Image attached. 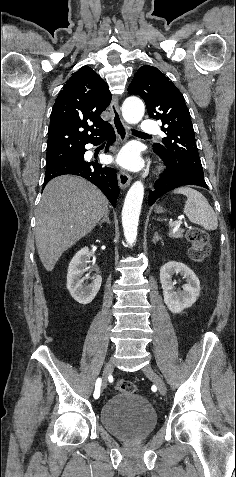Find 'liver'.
<instances>
[{"label": "liver", "instance_id": "liver-1", "mask_svg": "<svg viewBox=\"0 0 236 477\" xmlns=\"http://www.w3.org/2000/svg\"><path fill=\"white\" fill-rule=\"evenodd\" d=\"M104 194L87 180L59 176L45 187L36 215V247L47 271L68 248L89 234L108 212Z\"/></svg>", "mask_w": 236, "mask_h": 477}]
</instances>
